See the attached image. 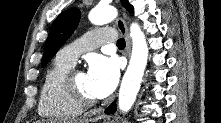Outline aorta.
Here are the masks:
<instances>
[{
    "label": "aorta",
    "mask_w": 221,
    "mask_h": 123,
    "mask_svg": "<svg viewBox=\"0 0 221 123\" xmlns=\"http://www.w3.org/2000/svg\"><path fill=\"white\" fill-rule=\"evenodd\" d=\"M117 10L113 6H98L89 13V20L95 25L113 21ZM132 54L119 90V108L127 112L133 106L139 92L142 77L148 60V46L144 33L136 23L130 26Z\"/></svg>",
    "instance_id": "aorta-1"
}]
</instances>
